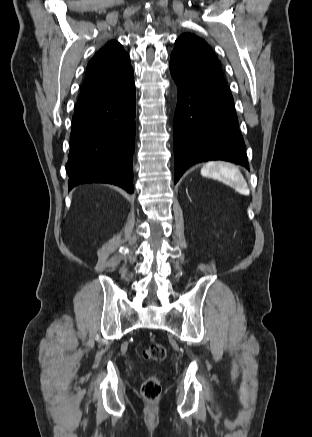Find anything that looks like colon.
Instances as JSON below:
<instances>
[{"instance_id":"1","label":"colon","mask_w":312,"mask_h":437,"mask_svg":"<svg viewBox=\"0 0 312 437\" xmlns=\"http://www.w3.org/2000/svg\"><path fill=\"white\" fill-rule=\"evenodd\" d=\"M142 357L147 361L160 362L166 357L165 347L160 343H151L142 351ZM142 395L147 400L157 399L162 391L161 380L157 376H151L146 379L142 385Z\"/></svg>"}]
</instances>
